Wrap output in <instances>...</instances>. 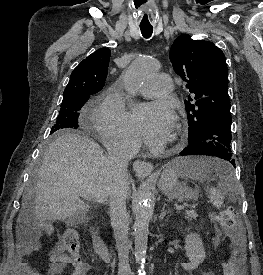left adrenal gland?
Masks as SVG:
<instances>
[{
    "label": "left adrenal gland",
    "instance_id": "a2214340",
    "mask_svg": "<svg viewBox=\"0 0 263 275\" xmlns=\"http://www.w3.org/2000/svg\"><path fill=\"white\" fill-rule=\"evenodd\" d=\"M166 206H167V204L164 203L163 208H162V211H161V214H160V216H159V219H160V220H163L164 217L166 216V214L169 213V211L165 210V207H166Z\"/></svg>",
    "mask_w": 263,
    "mask_h": 275
}]
</instances>
